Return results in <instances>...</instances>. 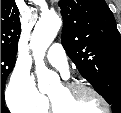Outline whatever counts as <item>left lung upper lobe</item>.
Masks as SVG:
<instances>
[{"label":"left lung upper lobe","instance_id":"left-lung-upper-lobe-1","mask_svg":"<svg viewBox=\"0 0 121 113\" xmlns=\"http://www.w3.org/2000/svg\"><path fill=\"white\" fill-rule=\"evenodd\" d=\"M62 45L81 75L121 113V40L104 0H60Z\"/></svg>","mask_w":121,"mask_h":113}]
</instances>
